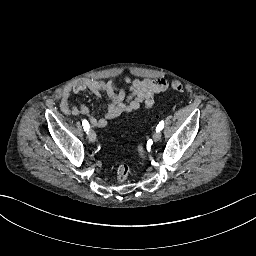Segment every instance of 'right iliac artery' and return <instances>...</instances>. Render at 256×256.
Wrapping results in <instances>:
<instances>
[{"instance_id": "1", "label": "right iliac artery", "mask_w": 256, "mask_h": 256, "mask_svg": "<svg viewBox=\"0 0 256 256\" xmlns=\"http://www.w3.org/2000/svg\"><path fill=\"white\" fill-rule=\"evenodd\" d=\"M82 125L84 126V130L86 131V133H88L89 128H90L88 121L87 120H83L82 121Z\"/></svg>"}]
</instances>
